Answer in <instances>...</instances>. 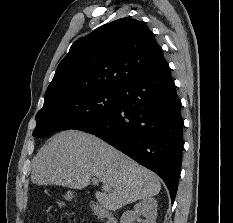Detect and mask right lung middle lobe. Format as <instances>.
<instances>
[{
    "label": "right lung middle lobe",
    "instance_id": "dd1d6c3e",
    "mask_svg": "<svg viewBox=\"0 0 233 223\" xmlns=\"http://www.w3.org/2000/svg\"><path fill=\"white\" fill-rule=\"evenodd\" d=\"M120 90L99 87L62 96L44 104L36 115L35 137H44L63 129L77 130L116 110Z\"/></svg>",
    "mask_w": 233,
    "mask_h": 223
}]
</instances>
